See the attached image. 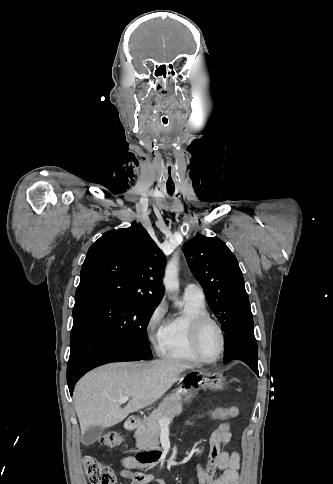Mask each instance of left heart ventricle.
<instances>
[{
  "mask_svg": "<svg viewBox=\"0 0 333 484\" xmlns=\"http://www.w3.org/2000/svg\"><path fill=\"white\" fill-rule=\"evenodd\" d=\"M200 346L203 354L208 358L215 357L220 350V336L213 325H208L202 332Z\"/></svg>",
  "mask_w": 333,
  "mask_h": 484,
  "instance_id": "left-heart-ventricle-1",
  "label": "left heart ventricle"
}]
</instances>
